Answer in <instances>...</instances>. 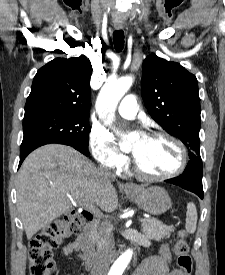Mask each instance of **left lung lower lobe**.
I'll use <instances>...</instances> for the list:
<instances>
[{
    "instance_id": "0a47b994",
    "label": "left lung lower lobe",
    "mask_w": 225,
    "mask_h": 275,
    "mask_svg": "<svg viewBox=\"0 0 225 275\" xmlns=\"http://www.w3.org/2000/svg\"><path fill=\"white\" fill-rule=\"evenodd\" d=\"M202 173L203 166L201 157L196 156L190 158L182 175L173 179L165 180V182L178 185L188 191L194 192L203 199Z\"/></svg>"
}]
</instances>
